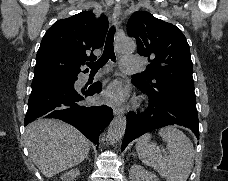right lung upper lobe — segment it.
Segmentation results:
<instances>
[{
  "label": "right lung upper lobe",
  "instance_id": "obj_1",
  "mask_svg": "<svg viewBox=\"0 0 228 181\" xmlns=\"http://www.w3.org/2000/svg\"><path fill=\"white\" fill-rule=\"evenodd\" d=\"M107 29V18L96 19L91 11L57 21L42 39L33 81L77 76L85 62L96 58L92 51L103 46Z\"/></svg>",
  "mask_w": 228,
  "mask_h": 181
}]
</instances>
